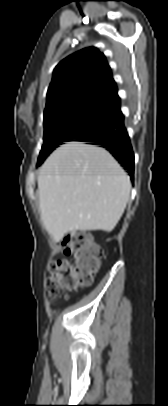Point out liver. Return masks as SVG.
<instances>
[{
	"label": "liver",
	"instance_id": "6515ba94",
	"mask_svg": "<svg viewBox=\"0 0 168 406\" xmlns=\"http://www.w3.org/2000/svg\"><path fill=\"white\" fill-rule=\"evenodd\" d=\"M42 222L55 241L74 230L112 231L130 196V179L105 149L71 141L57 148L38 176Z\"/></svg>",
	"mask_w": 168,
	"mask_h": 406
}]
</instances>
